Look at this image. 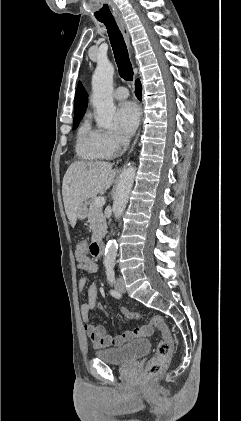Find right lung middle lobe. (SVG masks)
Instances as JSON below:
<instances>
[{"label": "right lung middle lobe", "instance_id": "dd1d6c3e", "mask_svg": "<svg viewBox=\"0 0 241 421\" xmlns=\"http://www.w3.org/2000/svg\"><path fill=\"white\" fill-rule=\"evenodd\" d=\"M82 117L74 118L73 120V129H76L81 121Z\"/></svg>", "mask_w": 241, "mask_h": 421}]
</instances>
